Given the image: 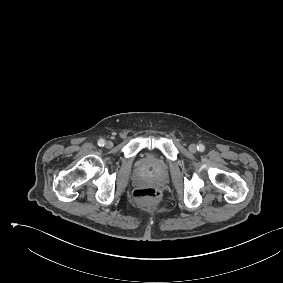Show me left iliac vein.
<instances>
[{
  "label": "left iliac vein",
  "mask_w": 283,
  "mask_h": 283,
  "mask_svg": "<svg viewBox=\"0 0 283 283\" xmlns=\"http://www.w3.org/2000/svg\"><path fill=\"white\" fill-rule=\"evenodd\" d=\"M189 151L191 153H195L197 151V146L195 144H190L189 145Z\"/></svg>",
  "instance_id": "left-iliac-vein-1"
}]
</instances>
